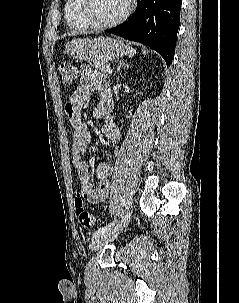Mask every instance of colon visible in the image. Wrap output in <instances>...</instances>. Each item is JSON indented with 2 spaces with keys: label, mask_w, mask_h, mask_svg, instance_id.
<instances>
[{
  "label": "colon",
  "mask_w": 239,
  "mask_h": 303,
  "mask_svg": "<svg viewBox=\"0 0 239 303\" xmlns=\"http://www.w3.org/2000/svg\"><path fill=\"white\" fill-rule=\"evenodd\" d=\"M60 78L64 85H72L78 78L76 68L69 62H62L59 66ZM75 214L84 228H94L96 226L95 216L85 210L84 202L80 193H76L74 198Z\"/></svg>",
  "instance_id": "obj_1"
}]
</instances>
